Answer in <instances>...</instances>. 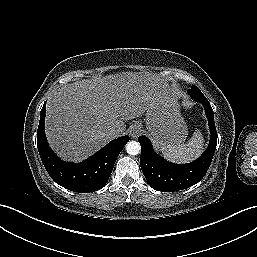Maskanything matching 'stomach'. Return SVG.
Segmentation results:
<instances>
[{
    "mask_svg": "<svg viewBox=\"0 0 257 257\" xmlns=\"http://www.w3.org/2000/svg\"><path fill=\"white\" fill-rule=\"evenodd\" d=\"M144 120L149 136L159 148L182 143L187 137V125L181 116L178 102H155L145 112Z\"/></svg>",
    "mask_w": 257,
    "mask_h": 257,
    "instance_id": "1",
    "label": "stomach"
}]
</instances>
